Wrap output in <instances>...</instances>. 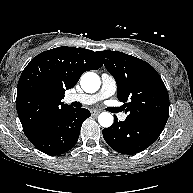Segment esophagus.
Here are the masks:
<instances>
[{
    "label": "esophagus",
    "instance_id": "1",
    "mask_svg": "<svg viewBox=\"0 0 193 193\" xmlns=\"http://www.w3.org/2000/svg\"><path fill=\"white\" fill-rule=\"evenodd\" d=\"M101 111L100 110H92L91 114L92 116H97Z\"/></svg>",
    "mask_w": 193,
    "mask_h": 193
}]
</instances>
